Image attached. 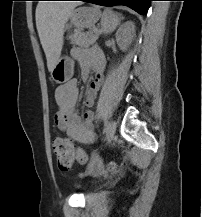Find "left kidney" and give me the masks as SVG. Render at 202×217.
<instances>
[{
    "label": "left kidney",
    "instance_id": "1",
    "mask_svg": "<svg viewBox=\"0 0 202 217\" xmlns=\"http://www.w3.org/2000/svg\"><path fill=\"white\" fill-rule=\"evenodd\" d=\"M125 31L127 32L126 36L122 37L120 32L117 33L116 39L119 47L122 50H126L132 42L133 34H134V24L131 21L126 22L123 25Z\"/></svg>",
    "mask_w": 202,
    "mask_h": 217
}]
</instances>
